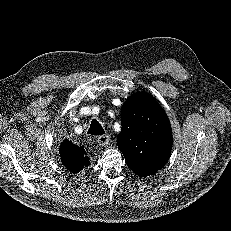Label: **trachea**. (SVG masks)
Segmentation results:
<instances>
[{"label":"trachea","instance_id":"1","mask_svg":"<svg viewBox=\"0 0 231 231\" xmlns=\"http://www.w3.org/2000/svg\"><path fill=\"white\" fill-rule=\"evenodd\" d=\"M87 133L90 135L98 136V135H103L105 131L101 126V124L96 119H93L91 121V125Z\"/></svg>","mask_w":231,"mask_h":231}]
</instances>
